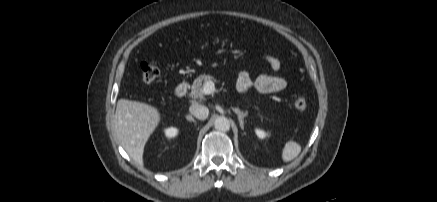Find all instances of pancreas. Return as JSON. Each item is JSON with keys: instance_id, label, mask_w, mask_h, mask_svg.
Instances as JSON below:
<instances>
[{"instance_id": "1", "label": "pancreas", "mask_w": 437, "mask_h": 202, "mask_svg": "<svg viewBox=\"0 0 437 202\" xmlns=\"http://www.w3.org/2000/svg\"><path fill=\"white\" fill-rule=\"evenodd\" d=\"M214 77L210 76V75H206V74H202L200 76H198L192 86H191V92H190V96L192 98L195 99H203L204 98V93H203V86L206 82L208 81H214Z\"/></svg>"}]
</instances>
